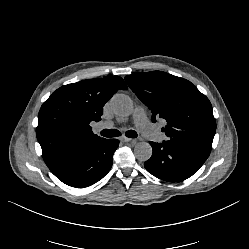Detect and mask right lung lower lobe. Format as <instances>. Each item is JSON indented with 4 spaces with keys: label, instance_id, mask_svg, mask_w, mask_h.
<instances>
[{
    "label": "right lung lower lobe",
    "instance_id": "obj_1",
    "mask_svg": "<svg viewBox=\"0 0 249 249\" xmlns=\"http://www.w3.org/2000/svg\"><path fill=\"white\" fill-rule=\"evenodd\" d=\"M118 145L117 139H102L95 145L74 151L63 160L49 166V169L69 186L88 187L109 172Z\"/></svg>",
    "mask_w": 249,
    "mask_h": 249
}]
</instances>
